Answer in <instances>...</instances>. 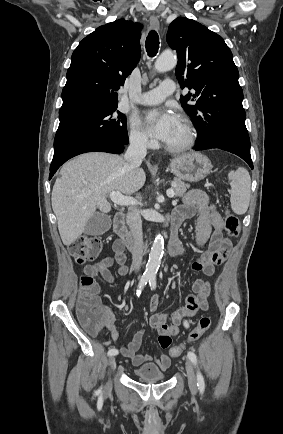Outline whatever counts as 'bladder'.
Segmentation results:
<instances>
[{"instance_id": "1", "label": "bladder", "mask_w": 283, "mask_h": 434, "mask_svg": "<svg viewBox=\"0 0 283 434\" xmlns=\"http://www.w3.org/2000/svg\"><path fill=\"white\" fill-rule=\"evenodd\" d=\"M135 377L143 382H160L166 378V375L155 365L145 364L134 370Z\"/></svg>"}]
</instances>
